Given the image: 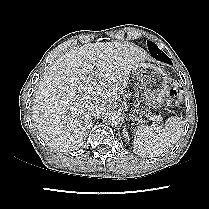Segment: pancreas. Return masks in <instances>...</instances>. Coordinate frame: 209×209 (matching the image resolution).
I'll return each mask as SVG.
<instances>
[{
    "label": "pancreas",
    "mask_w": 209,
    "mask_h": 209,
    "mask_svg": "<svg viewBox=\"0 0 209 209\" xmlns=\"http://www.w3.org/2000/svg\"><path fill=\"white\" fill-rule=\"evenodd\" d=\"M157 121H159V122L161 121V118L159 116H157Z\"/></svg>",
    "instance_id": "pancreas-1"
}]
</instances>
